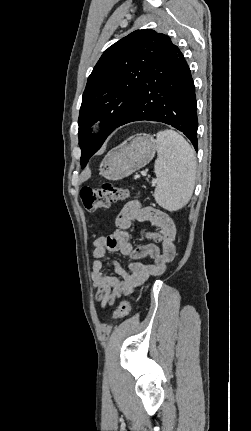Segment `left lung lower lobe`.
<instances>
[{"label": "left lung lower lobe", "instance_id": "obj_1", "mask_svg": "<svg viewBox=\"0 0 251 431\" xmlns=\"http://www.w3.org/2000/svg\"><path fill=\"white\" fill-rule=\"evenodd\" d=\"M141 120L171 125L183 132L197 151L195 86L183 54L169 37L119 126Z\"/></svg>", "mask_w": 251, "mask_h": 431}]
</instances>
